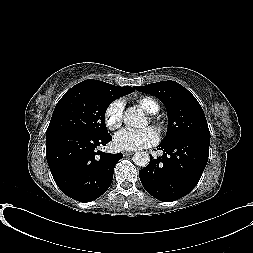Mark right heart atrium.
Returning a JSON list of instances; mask_svg holds the SVG:
<instances>
[{"mask_svg":"<svg viewBox=\"0 0 253 253\" xmlns=\"http://www.w3.org/2000/svg\"><path fill=\"white\" fill-rule=\"evenodd\" d=\"M124 102L116 99L109 103L104 112V122L106 127L111 130H117L123 122Z\"/></svg>","mask_w":253,"mask_h":253,"instance_id":"d8ad5b80","label":"right heart atrium"}]
</instances>
